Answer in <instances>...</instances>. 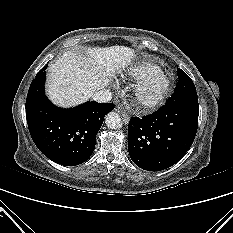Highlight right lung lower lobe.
Here are the masks:
<instances>
[{
  "label": "right lung lower lobe",
  "mask_w": 233,
  "mask_h": 233,
  "mask_svg": "<svg viewBox=\"0 0 233 233\" xmlns=\"http://www.w3.org/2000/svg\"><path fill=\"white\" fill-rule=\"evenodd\" d=\"M43 67L32 81L26 99V119L38 149L65 166L85 162L93 153L95 138L112 103L86 102L70 109L53 105L45 96Z\"/></svg>",
  "instance_id": "right-lung-lower-lobe-1"
}]
</instances>
